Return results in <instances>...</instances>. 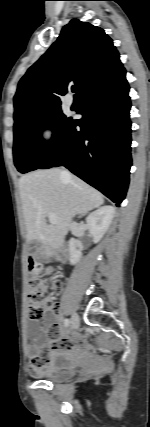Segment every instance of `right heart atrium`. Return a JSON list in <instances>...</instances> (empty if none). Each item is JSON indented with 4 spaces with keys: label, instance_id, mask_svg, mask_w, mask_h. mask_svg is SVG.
<instances>
[{
    "label": "right heart atrium",
    "instance_id": "d8ad5b80",
    "mask_svg": "<svg viewBox=\"0 0 150 427\" xmlns=\"http://www.w3.org/2000/svg\"><path fill=\"white\" fill-rule=\"evenodd\" d=\"M57 136V126L53 120L49 119L40 125L37 133V142L42 149L48 150L54 145Z\"/></svg>",
    "mask_w": 150,
    "mask_h": 427
}]
</instances>
